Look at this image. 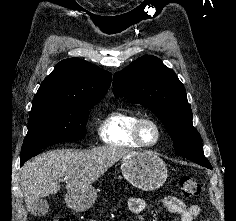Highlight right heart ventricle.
<instances>
[{"instance_id": "1", "label": "right heart ventricle", "mask_w": 236, "mask_h": 221, "mask_svg": "<svg viewBox=\"0 0 236 221\" xmlns=\"http://www.w3.org/2000/svg\"><path fill=\"white\" fill-rule=\"evenodd\" d=\"M140 115L134 111L116 109L100 122L98 133L108 146L120 149H137L141 146L134 140L132 132Z\"/></svg>"}]
</instances>
